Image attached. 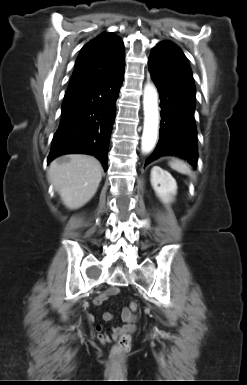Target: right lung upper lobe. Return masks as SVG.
I'll return each instance as SVG.
<instances>
[{
	"instance_id": "1",
	"label": "right lung upper lobe",
	"mask_w": 247,
	"mask_h": 385,
	"mask_svg": "<svg viewBox=\"0 0 247 385\" xmlns=\"http://www.w3.org/2000/svg\"><path fill=\"white\" fill-rule=\"evenodd\" d=\"M124 65L122 40L112 33H102L82 48L67 90L110 75Z\"/></svg>"
}]
</instances>
